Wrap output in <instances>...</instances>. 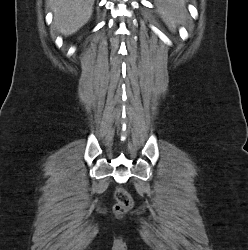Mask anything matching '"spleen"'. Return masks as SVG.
Here are the masks:
<instances>
[{
	"mask_svg": "<svg viewBox=\"0 0 248 250\" xmlns=\"http://www.w3.org/2000/svg\"><path fill=\"white\" fill-rule=\"evenodd\" d=\"M184 1L185 0H157L158 13L170 31L175 32L177 25L183 24L188 18Z\"/></svg>",
	"mask_w": 248,
	"mask_h": 250,
	"instance_id": "spleen-1",
	"label": "spleen"
}]
</instances>
